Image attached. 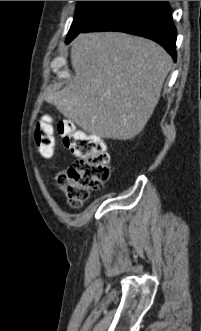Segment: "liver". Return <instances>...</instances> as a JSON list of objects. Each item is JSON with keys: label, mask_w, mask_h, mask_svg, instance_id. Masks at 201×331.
Instances as JSON below:
<instances>
[{"label": "liver", "mask_w": 201, "mask_h": 331, "mask_svg": "<svg viewBox=\"0 0 201 331\" xmlns=\"http://www.w3.org/2000/svg\"><path fill=\"white\" fill-rule=\"evenodd\" d=\"M74 78L45 100L84 131L128 140L147 124L171 70V56L149 39L121 32L79 34Z\"/></svg>", "instance_id": "obj_1"}]
</instances>
